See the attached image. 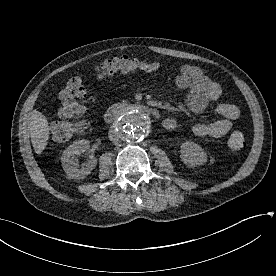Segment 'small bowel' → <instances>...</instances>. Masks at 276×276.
Segmentation results:
<instances>
[{"label": "small bowel", "instance_id": "small-bowel-1", "mask_svg": "<svg viewBox=\"0 0 276 276\" xmlns=\"http://www.w3.org/2000/svg\"><path fill=\"white\" fill-rule=\"evenodd\" d=\"M161 68H163L161 62H147L145 72H154ZM174 82L178 88L188 90L186 105L193 113L202 112L210 103L218 101L222 95L220 85L212 81L201 68L194 65H182ZM215 114L218 118L213 122L195 124L194 134L199 137L214 138L226 135L231 130L233 121L240 116V110L233 104L219 103L215 107ZM163 126L167 130H173L177 127V121L168 117L163 120Z\"/></svg>", "mask_w": 276, "mask_h": 276}]
</instances>
